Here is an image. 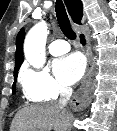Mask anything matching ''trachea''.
<instances>
[{
    "mask_svg": "<svg viewBox=\"0 0 117 131\" xmlns=\"http://www.w3.org/2000/svg\"><path fill=\"white\" fill-rule=\"evenodd\" d=\"M55 8L57 21L63 34L70 40L76 39V33L71 28L62 0H56Z\"/></svg>",
    "mask_w": 117,
    "mask_h": 131,
    "instance_id": "3493384b",
    "label": "trachea"
}]
</instances>
